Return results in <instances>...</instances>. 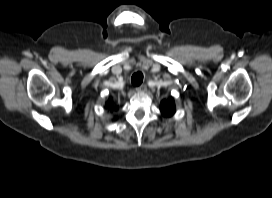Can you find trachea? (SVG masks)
<instances>
[{
	"mask_svg": "<svg viewBox=\"0 0 272 198\" xmlns=\"http://www.w3.org/2000/svg\"><path fill=\"white\" fill-rule=\"evenodd\" d=\"M143 81V74L142 72L138 71L136 73H134L131 77V82L134 86H139L141 85Z\"/></svg>",
	"mask_w": 272,
	"mask_h": 198,
	"instance_id": "obj_1",
	"label": "trachea"
}]
</instances>
